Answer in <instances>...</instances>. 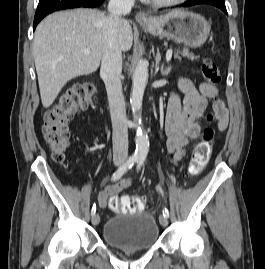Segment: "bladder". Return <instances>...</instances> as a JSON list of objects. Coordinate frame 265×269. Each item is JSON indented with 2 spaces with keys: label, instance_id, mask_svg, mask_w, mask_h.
Segmentation results:
<instances>
[{
  "label": "bladder",
  "instance_id": "1",
  "mask_svg": "<svg viewBox=\"0 0 265 269\" xmlns=\"http://www.w3.org/2000/svg\"><path fill=\"white\" fill-rule=\"evenodd\" d=\"M103 239L119 250H148L158 242L159 228L154 216L148 212L114 215L104 225Z\"/></svg>",
  "mask_w": 265,
  "mask_h": 269
}]
</instances>
